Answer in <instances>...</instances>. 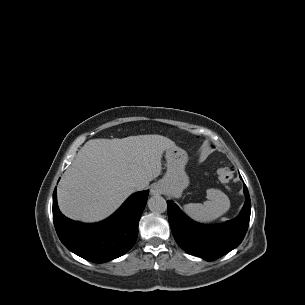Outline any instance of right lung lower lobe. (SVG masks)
<instances>
[{"label":"right lung lower lobe","mask_w":305,"mask_h":305,"mask_svg":"<svg viewBox=\"0 0 305 305\" xmlns=\"http://www.w3.org/2000/svg\"><path fill=\"white\" fill-rule=\"evenodd\" d=\"M149 190L131 195L109 218L92 224L65 217L53 193V221L61 242L76 255L95 263H104L129 251L138 236V223Z\"/></svg>","instance_id":"right-lung-lower-lobe-1"}]
</instances>
